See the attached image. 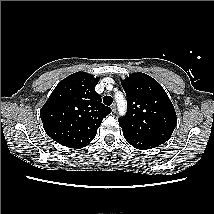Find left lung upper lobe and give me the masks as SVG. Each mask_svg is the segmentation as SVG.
I'll return each mask as SVG.
<instances>
[{"mask_svg":"<svg viewBox=\"0 0 214 214\" xmlns=\"http://www.w3.org/2000/svg\"><path fill=\"white\" fill-rule=\"evenodd\" d=\"M121 84L128 103L126 117L118 120L123 133L159 145L166 142L175 129L177 118L163 87L141 72L129 75Z\"/></svg>","mask_w":214,"mask_h":214,"instance_id":"left-lung-upper-lobe-1","label":"left lung upper lobe"}]
</instances>
